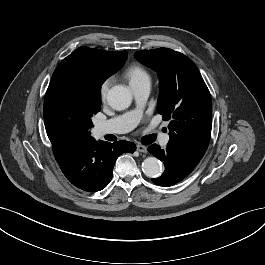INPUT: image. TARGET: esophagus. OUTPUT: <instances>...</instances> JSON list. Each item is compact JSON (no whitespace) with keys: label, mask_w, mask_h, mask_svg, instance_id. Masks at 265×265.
Instances as JSON below:
<instances>
[{"label":"esophagus","mask_w":265,"mask_h":265,"mask_svg":"<svg viewBox=\"0 0 265 265\" xmlns=\"http://www.w3.org/2000/svg\"><path fill=\"white\" fill-rule=\"evenodd\" d=\"M137 151H139L141 153H146L147 147L145 145H142V144H137Z\"/></svg>","instance_id":"esophagus-1"}]
</instances>
